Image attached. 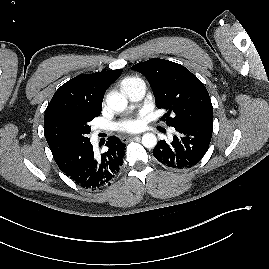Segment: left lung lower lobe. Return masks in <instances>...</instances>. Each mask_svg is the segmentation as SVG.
<instances>
[{
    "instance_id": "0a47b994",
    "label": "left lung lower lobe",
    "mask_w": 269,
    "mask_h": 269,
    "mask_svg": "<svg viewBox=\"0 0 269 269\" xmlns=\"http://www.w3.org/2000/svg\"><path fill=\"white\" fill-rule=\"evenodd\" d=\"M175 129L177 134L173 136L172 142H158L153 150L154 157L162 164L175 169L195 166L208 150L213 125L189 124Z\"/></svg>"
}]
</instances>
